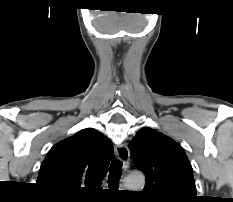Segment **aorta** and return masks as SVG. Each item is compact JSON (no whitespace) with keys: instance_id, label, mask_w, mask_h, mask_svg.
I'll list each match as a JSON object with an SVG mask.
<instances>
[{"instance_id":"obj_1","label":"aorta","mask_w":233,"mask_h":202,"mask_svg":"<svg viewBox=\"0 0 233 202\" xmlns=\"http://www.w3.org/2000/svg\"><path fill=\"white\" fill-rule=\"evenodd\" d=\"M144 183L145 179L141 174L130 175L125 179V187L129 189H139Z\"/></svg>"}]
</instances>
